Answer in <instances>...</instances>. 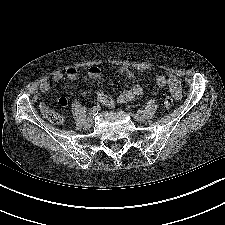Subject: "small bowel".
Segmentation results:
<instances>
[{
  "instance_id": "1",
  "label": "small bowel",
  "mask_w": 225,
  "mask_h": 225,
  "mask_svg": "<svg viewBox=\"0 0 225 225\" xmlns=\"http://www.w3.org/2000/svg\"><path fill=\"white\" fill-rule=\"evenodd\" d=\"M119 71L124 73L125 76L132 80L134 78V72L133 70L127 66V65H121L119 67ZM101 75V69L96 66L92 65L88 69V77L91 79H97ZM78 76V71L74 67H68L64 71H55L49 79L42 80L40 82L39 88L42 92H48L51 89V83L52 82H59L63 78L68 79H75ZM156 84L159 87H168L171 94L175 99H180L182 96V90L181 85L176 76L170 75V76H164V75H158L156 77ZM143 92L142 87L139 84H133L123 92L119 94L117 97V100L115 101L110 96H108L103 91H98L96 93V97L98 101L105 107L112 108L115 106L116 102L118 103H128L135 98L139 97ZM67 99L65 97H61L58 100V103L60 106H66L67 105ZM41 111L43 113H47L50 109L46 103L40 104Z\"/></svg>"
}]
</instances>
